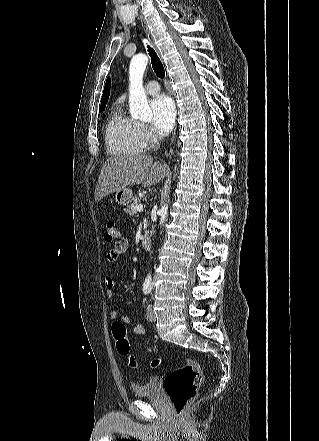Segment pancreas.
<instances>
[{"instance_id":"obj_1","label":"pancreas","mask_w":319,"mask_h":441,"mask_svg":"<svg viewBox=\"0 0 319 441\" xmlns=\"http://www.w3.org/2000/svg\"><path fill=\"white\" fill-rule=\"evenodd\" d=\"M140 204V198H138L137 196H135L133 199H132V201H131V203H130V205H128V207H127V209H126V212L128 213V214H130V215H134V214H136V206L137 205H139Z\"/></svg>"}]
</instances>
